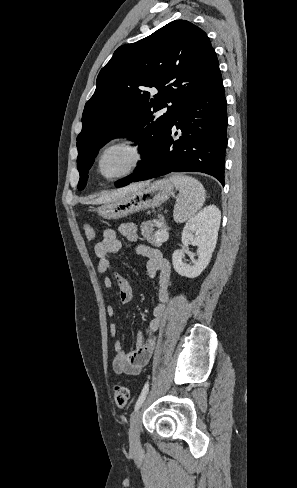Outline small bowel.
I'll list each match as a JSON object with an SVG mask.
<instances>
[{
    "label": "small bowel",
    "mask_w": 297,
    "mask_h": 488,
    "mask_svg": "<svg viewBox=\"0 0 297 488\" xmlns=\"http://www.w3.org/2000/svg\"><path fill=\"white\" fill-rule=\"evenodd\" d=\"M118 232L129 242L135 243L134 250L141 256L148 259L147 275L150 279L155 280L158 289V300L152 308V318L149 320L147 327L143 333H140V340L136 348L130 352L125 353L120 339L116 338L114 341V359L113 370L117 375L134 376L141 372L147 365L154 349L155 332L159 329L162 318L164 317L167 304L170 299L169 287L171 267L169 261L163 256L160 250L151 246L140 243V235L137 231V226L134 223H123L118 227ZM122 248V243L118 239L116 231L113 229H105L102 237L94 246V253L97 257V272L105 274L111 262L109 254L116 253ZM113 279L116 282L119 290V298L123 304H127L132 300L133 292L130 280L122 273H115ZM103 287L109 292L113 289V280L110 277H104L102 281ZM108 316L115 317V308L108 305L106 308ZM118 332V325L112 323L110 325V335L115 338ZM143 334L146 337L143 339Z\"/></svg>",
    "instance_id": "c3829d8e"
}]
</instances>
